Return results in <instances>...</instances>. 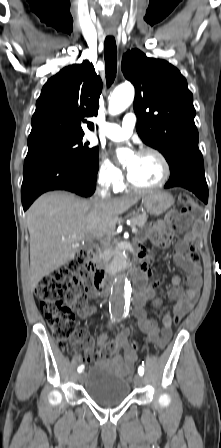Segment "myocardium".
I'll return each mask as SVG.
<instances>
[{"label":"myocardium","instance_id":"obj_1","mask_svg":"<svg viewBox=\"0 0 221 448\" xmlns=\"http://www.w3.org/2000/svg\"><path fill=\"white\" fill-rule=\"evenodd\" d=\"M153 155L156 158H158V160L160 161V163L162 164L164 173L162 178L154 183V184H150V185H145V184H139L137 182H135L130 175L127 176V181L128 184L136 189H142V190H149V189H156L159 187H162L163 185H165L167 183V181L170 179L171 173H172V168H171V164L168 160V158L165 156L164 153H162L161 151H159L158 149L152 148V147H146L141 149L137 155Z\"/></svg>","mask_w":221,"mask_h":448}]
</instances>
